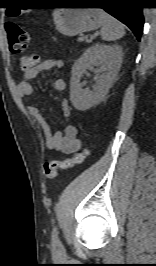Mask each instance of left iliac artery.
Instances as JSON below:
<instances>
[{
    "mask_svg": "<svg viewBox=\"0 0 156 266\" xmlns=\"http://www.w3.org/2000/svg\"><path fill=\"white\" fill-rule=\"evenodd\" d=\"M52 241L56 245H59L60 244V241H59V238H58V230H57V227H54L53 230H52Z\"/></svg>",
    "mask_w": 156,
    "mask_h": 266,
    "instance_id": "44dca946",
    "label": "left iliac artery"
}]
</instances>
